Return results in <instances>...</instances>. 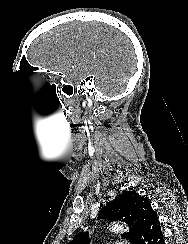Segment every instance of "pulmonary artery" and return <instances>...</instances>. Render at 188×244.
Here are the masks:
<instances>
[{
	"label": "pulmonary artery",
	"instance_id": "pulmonary-artery-1",
	"mask_svg": "<svg viewBox=\"0 0 188 244\" xmlns=\"http://www.w3.org/2000/svg\"><path fill=\"white\" fill-rule=\"evenodd\" d=\"M115 244H130L128 242H116Z\"/></svg>",
	"mask_w": 188,
	"mask_h": 244
}]
</instances>
